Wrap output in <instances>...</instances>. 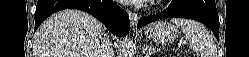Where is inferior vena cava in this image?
<instances>
[{"instance_id":"inferior-vena-cava-1","label":"inferior vena cava","mask_w":249,"mask_h":57,"mask_svg":"<svg viewBox=\"0 0 249 57\" xmlns=\"http://www.w3.org/2000/svg\"><path fill=\"white\" fill-rule=\"evenodd\" d=\"M98 57H114L112 44L109 42V40L103 39L102 44L99 48Z\"/></svg>"}]
</instances>
